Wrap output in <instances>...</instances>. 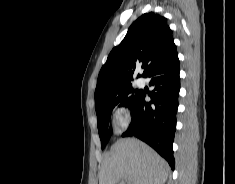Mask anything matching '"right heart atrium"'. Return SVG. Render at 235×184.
I'll return each instance as SVG.
<instances>
[{
	"mask_svg": "<svg viewBox=\"0 0 235 184\" xmlns=\"http://www.w3.org/2000/svg\"><path fill=\"white\" fill-rule=\"evenodd\" d=\"M131 122L130 110L125 105H116L112 111L111 133L121 135Z\"/></svg>",
	"mask_w": 235,
	"mask_h": 184,
	"instance_id": "1",
	"label": "right heart atrium"
}]
</instances>
